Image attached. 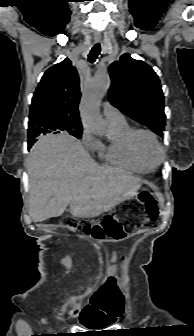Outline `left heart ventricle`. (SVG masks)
I'll list each match as a JSON object with an SVG mask.
<instances>
[{
    "mask_svg": "<svg viewBox=\"0 0 194 336\" xmlns=\"http://www.w3.org/2000/svg\"><path fill=\"white\" fill-rule=\"evenodd\" d=\"M138 149L141 156L150 163L156 162L159 158L157 146L148 135L142 134L138 137Z\"/></svg>",
    "mask_w": 194,
    "mask_h": 336,
    "instance_id": "b2bd125f",
    "label": "left heart ventricle"
}]
</instances>
